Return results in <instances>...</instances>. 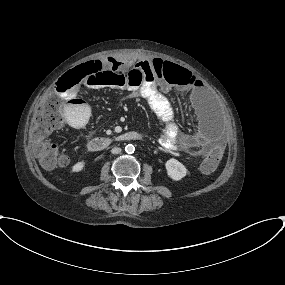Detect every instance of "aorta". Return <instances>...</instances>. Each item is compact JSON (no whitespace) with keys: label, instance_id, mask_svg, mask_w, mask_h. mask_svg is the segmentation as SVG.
<instances>
[{"label":"aorta","instance_id":"aorta-1","mask_svg":"<svg viewBox=\"0 0 285 285\" xmlns=\"http://www.w3.org/2000/svg\"><path fill=\"white\" fill-rule=\"evenodd\" d=\"M125 151H126V153H128V154L134 153V151H135L134 145H133V144H128V145H126V146H125Z\"/></svg>","mask_w":285,"mask_h":285}]
</instances>
